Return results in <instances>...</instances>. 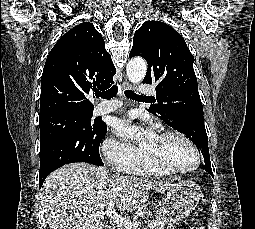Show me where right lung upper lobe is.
<instances>
[{
	"instance_id": "obj_1",
	"label": "right lung upper lobe",
	"mask_w": 255,
	"mask_h": 229,
	"mask_svg": "<svg viewBox=\"0 0 255 229\" xmlns=\"http://www.w3.org/2000/svg\"><path fill=\"white\" fill-rule=\"evenodd\" d=\"M116 69L92 23L64 34L50 51L41 77L40 118L60 112H93L88 95L108 89Z\"/></svg>"
}]
</instances>
